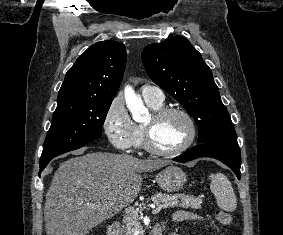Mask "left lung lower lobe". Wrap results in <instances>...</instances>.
Here are the masks:
<instances>
[{
    "mask_svg": "<svg viewBox=\"0 0 283 235\" xmlns=\"http://www.w3.org/2000/svg\"><path fill=\"white\" fill-rule=\"evenodd\" d=\"M199 157H212L226 164L240 179L241 155L236 139L202 143L175 157L177 162H187Z\"/></svg>",
    "mask_w": 283,
    "mask_h": 235,
    "instance_id": "left-lung-lower-lobe-1",
    "label": "left lung lower lobe"
}]
</instances>
